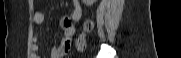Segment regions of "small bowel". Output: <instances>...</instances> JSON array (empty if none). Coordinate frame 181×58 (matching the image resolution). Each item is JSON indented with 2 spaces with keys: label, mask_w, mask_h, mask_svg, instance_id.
Here are the masks:
<instances>
[{
  "label": "small bowel",
  "mask_w": 181,
  "mask_h": 58,
  "mask_svg": "<svg viewBox=\"0 0 181 58\" xmlns=\"http://www.w3.org/2000/svg\"><path fill=\"white\" fill-rule=\"evenodd\" d=\"M82 15V9L80 5L76 2H72V8L70 13L63 17L61 20V28H62V34L63 39L59 44L54 45L51 51V58H62L64 55L69 51L71 47V41L75 34V23L81 18ZM45 20V15L43 12L38 11L34 15V22L37 24H42ZM39 38L38 36L33 37V45H32V52H33V58H39L37 56L38 52V42Z\"/></svg>",
  "instance_id": "small-bowel-1"
}]
</instances>
